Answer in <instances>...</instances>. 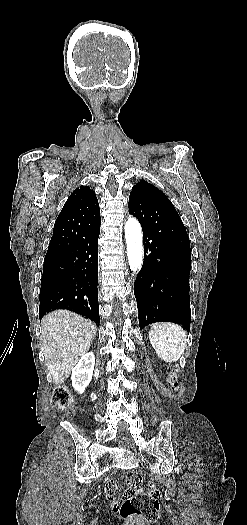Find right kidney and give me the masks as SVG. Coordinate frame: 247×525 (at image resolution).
I'll list each match as a JSON object with an SVG mask.
<instances>
[{
  "label": "right kidney",
  "instance_id": "1",
  "mask_svg": "<svg viewBox=\"0 0 247 525\" xmlns=\"http://www.w3.org/2000/svg\"><path fill=\"white\" fill-rule=\"evenodd\" d=\"M95 367L94 353H86L81 357L79 363L74 367L71 375L72 387L78 391L80 395L84 393L86 387L92 381L93 371Z\"/></svg>",
  "mask_w": 247,
  "mask_h": 525
}]
</instances>
